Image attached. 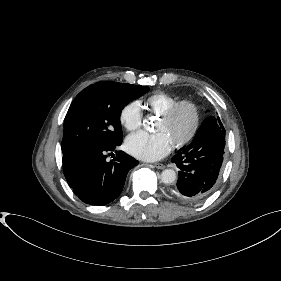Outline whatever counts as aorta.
Segmentation results:
<instances>
[{"mask_svg": "<svg viewBox=\"0 0 281 281\" xmlns=\"http://www.w3.org/2000/svg\"><path fill=\"white\" fill-rule=\"evenodd\" d=\"M149 124L148 120H144L143 125L147 127ZM177 175L173 169H165L161 173V181L164 184H173L176 181Z\"/></svg>", "mask_w": 281, "mask_h": 281, "instance_id": "aorta-1", "label": "aorta"}]
</instances>
